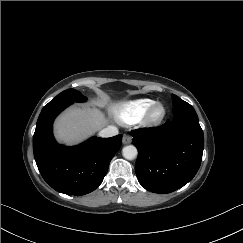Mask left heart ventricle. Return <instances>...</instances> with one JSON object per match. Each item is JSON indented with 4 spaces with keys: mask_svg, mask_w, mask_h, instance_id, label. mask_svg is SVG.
I'll return each instance as SVG.
<instances>
[{
    "mask_svg": "<svg viewBox=\"0 0 243 243\" xmlns=\"http://www.w3.org/2000/svg\"><path fill=\"white\" fill-rule=\"evenodd\" d=\"M161 113V109H157L156 112H155V115H159Z\"/></svg>",
    "mask_w": 243,
    "mask_h": 243,
    "instance_id": "left-heart-ventricle-1",
    "label": "left heart ventricle"
}]
</instances>
